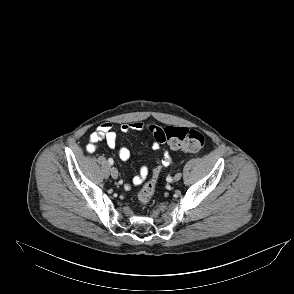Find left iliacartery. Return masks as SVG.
I'll list each match as a JSON object with an SVG mask.
<instances>
[{"label":"left iliac artery","instance_id":"44dca946","mask_svg":"<svg viewBox=\"0 0 294 294\" xmlns=\"http://www.w3.org/2000/svg\"><path fill=\"white\" fill-rule=\"evenodd\" d=\"M172 181V176H167L166 177V182H171Z\"/></svg>","mask_w":294,"mask_h":294}]
</instances>
